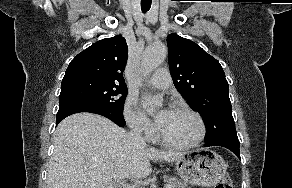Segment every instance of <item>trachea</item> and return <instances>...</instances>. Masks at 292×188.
Listing matches in <instances>:
<instances>
[{"instance_id":"3493384b","label":"trachea","mask_w":292,"mask_h":188,"mask_svg":"<svg viewBox=\"0 0 292 188\" xmlns=\"http://www.w3.org/2000/svg\"><path fill=\"white\" fill-rule=\"evenodd\" d=\"M151 7V3H141V10L143 13H146L147 11H149Z\"/></svg>"}]
</instances>
